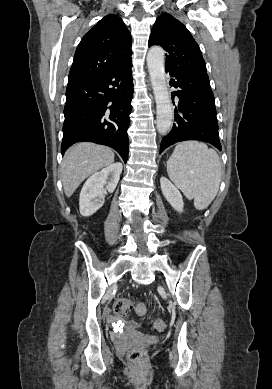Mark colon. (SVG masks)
I'll return each mask as SVG.
<instances>
[{
	"label": "colon",
	"mask_w": 272,
	"mask_h": 389,
	"mask_svg": "<svg viewBox=\"0 0 272 389\" xmlns=\"http://www.w3.org/2000/svg\"><path fill=\"white\" fill-rule=\"evenodd\" d=\"M113 311L115 315L121 319H125L130 312L135 311L139 316H144L147 313V306L142 302H134L127 298H119L113 305ZM165 322L161 319H157L154 322V327L158 331L165 329ZM128 360L135 366L142 365L146 360V348L139 346L133 348L128 353Z\"/></svg>",
	"instance_id": "1"
}]
</instances>
